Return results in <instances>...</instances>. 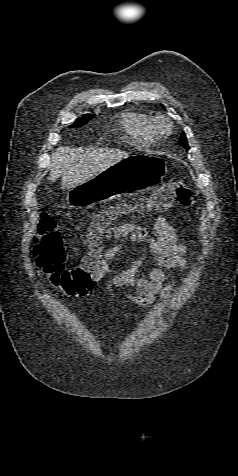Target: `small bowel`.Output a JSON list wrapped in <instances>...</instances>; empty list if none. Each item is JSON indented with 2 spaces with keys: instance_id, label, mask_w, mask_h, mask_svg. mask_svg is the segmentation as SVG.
I'll return each instance as SVG.
<instances>
[{
  "instance_id": "obj_1",
  "label": "small bowel",
  "mask_w": 238,
  "mask_h": 476,
  "mask_svg": "<svg viewBox=\"0 0 238 476\" xmlns=\"http://www.w3.org/2000/svg\"><path fill=\"white\" fill-rule=\"evenodd\" d=\"M105 236L116 243L101 257L89 255L85 262L93 261L100 268L108 292L114 288L131 287L135 293L125 295V298L136 305L149 307L157 298L165 299L173 291L175 284L166 282V272L186 268L184 256L187 247L180 242L177 230L165 218L160 217L157 220L153 233L144 227L126 222L108 228ZM127 241L134 246L138 257L128 269L114 270L111 262L124 249ZM143 243L147 244L156 262V267L151 269L147 276H144L141 270L146 259V251L141 245ZM90 291L69 295L86 296Z\"/></svg>"
}]
</instances>
